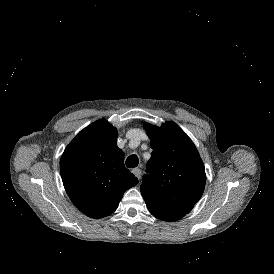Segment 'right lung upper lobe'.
<instances>
[{"mask_svg":"<svg viewBox=\"0 0 274 274\" xmlns=\"http://www.w3.org/2000/svg\"><path fill=\"white\" fill-rule=\"evenodd\" d=\"M118 132L105 119L83 129L66 147L60 173L73 204L91 218L116 210L123 194L138 183L124 166Z\"/></svg>","mask_w":274,"mask_h":274,"instance_id":"cb5924a9","label":"right lung upper lobe"}]
</instances>
